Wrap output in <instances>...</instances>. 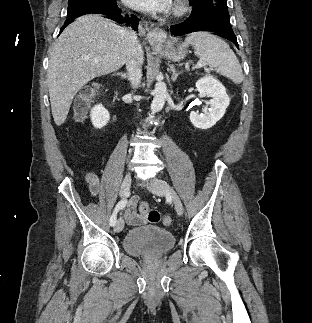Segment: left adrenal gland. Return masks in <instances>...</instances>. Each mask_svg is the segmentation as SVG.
Returning a JSON list of instances; mask_svg holds the SVG:
<instances>
[{"instance_id":"obj_1","label":"left adrenal gland","mask_w":312,"mask_h":323,"mask_svg":"<svg viewBox=\"0 0 312 323\" xmlns=\"http://www.w3.org/2000/svg\"><path fill=\"white\" fill-rule=\"evenodd\" d=\"M169 68H170V72H172L171 80L172 82H175V80H177L179 76V72H176L175 66H172V64H170Z\"/></svg>"}]
</instances>
